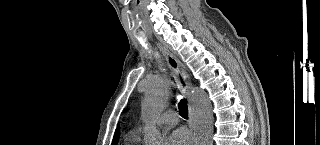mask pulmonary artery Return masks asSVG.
<instances>
[{"instance_id": "1", "label": "pulmonary artery", "mask_w": 320, "mask_h": 145, "mask_svg": "<svg viewBox=\"0 0 320 145\" xmlns=\"http://www.w3.org/2000/svg\"><path fill=\"white\" fill-rule=\"evenodd\" d=\"M177 122L178 117L174 111H166L163 114H161L156 120V123L158 125L167 127L175 126Z\"/></svg>"}]
</instances>
